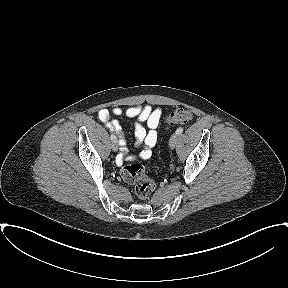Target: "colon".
Listing matches in <instances>:
<instances>
[{
  "label": "colon",
  "mask_w": 288,
  "mask_h": 288,
  "mask_svg": "<svg viewBox=\"0 0 288 288\" xmlns=\"http://www.w3.org/2000/svg\"><path fill=\"white\" fill-rule=\"evenodd\" d=\"M193 118L187 109H176L171 112L166 120L169 125L186 124ZM121 176L127 183L135 184V194L140 199H148L154 189L155 183L146 175L145 168L140 163H130L121 168Z\"/></svg>",
  "instance_id": "5ec220e1"
}]
</instances>
